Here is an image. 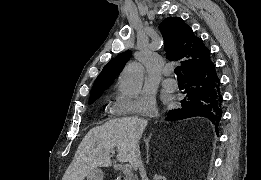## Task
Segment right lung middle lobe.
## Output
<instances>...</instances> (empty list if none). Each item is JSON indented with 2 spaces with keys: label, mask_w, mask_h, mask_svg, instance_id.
<instances>
[{
  "label": "right lung middle lobe",
  "mask_w": 261,
  "mask_h": 180,
  "mask_svg": "<svg viewBox=\"0 0 261 180\" xmlns=\"http://www.w3.org/2000/svg\"><path fill=\"white\" fill-rule=\"evenodd\" d=\"M100 96L92 97L89 99V104H92L96 99H98Z\"/></svg>",
  "instance_id": "1"
}]
</instances>
